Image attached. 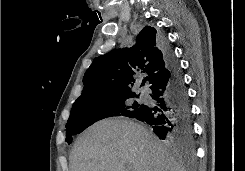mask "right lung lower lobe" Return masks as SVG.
Returning <instances> with one entry per match:
<instances>
[{
  "mask_svg": "<svg viewBox=\"0 0 245 171\" xmlns=\"http://www.w3.org/2000/svg\"><path fill=\"white\" fill-rule=\"evenodd\" d=\"M168 68L167 76L150 86L155 105H142L132 118L149 124L154 133L177 147L192 148L194 133L188 93L172 48L160 39Z\"/></svg>",
  "mask_w": 245,
  "mask_h": 171,
  "instance_id": "right-lung-lower-lobe-1",
  "label": "right lung lower lobe"
}]
</instances>
